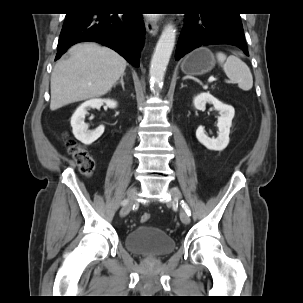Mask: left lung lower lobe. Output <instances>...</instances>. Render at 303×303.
I'll return each mask as SVG.
<instances>
[{
  "label": "left lung lower lobe",
  "mask_w": 303,
  "mask_h": 303,
  "mask_svg": "<svg viewBox=\"0 0 303 303\" xmlns=\"http://www.w3.org/2000/svg\"><path fill=\"white\" fill-rule=\"evenodd\" d=\"M185 21L176 48V60L195 48L212 44L235 45L249 55L240 18L208 12L187 14Z\"/></svg>",
  "instance_id": "obj_1"
}]
</instances>
